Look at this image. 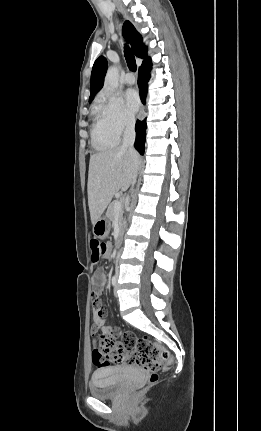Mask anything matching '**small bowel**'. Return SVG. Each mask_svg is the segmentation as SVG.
I'll list each match as a JSON object with an SVG mask.
<instances>
[{
  "instance_id": "obj_1",
  "label": "small bowel",
  "mask_w": 261,
  "mask_h": 431,
  "mask_svg": "<svg viewBox=\"0 0 261 431\" xmlns=\"http://www.w3.org/2000/svg\"><path fill=\"white\" fill-rule=\"evenodd\" d=\"M106 275L103 272L102 269H96L93 277L92 282L94 284V289L92 291L91 296V304H92V310L93 317H94V325L91 327V337H96V333L100 332L102 330L105 335H115L117 333V330L114 328H111L106 325L105 316L106 313L103 311V289L106 285ZM93 360H97V358L94 356Z\"/></svg>"
}]
</instances>
